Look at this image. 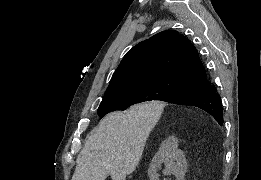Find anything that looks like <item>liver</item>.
Here are the masks:
<instances>
[{
    "instance_id": "1",
    "label": "liver",
    "mask_w": 261,
    "mask_h": 180,
    "mask_svg": "<svg viewBox=\"0 0 261 180\" xmlns=\"http://www.w3.org/2000/svg\"><path fill=\"white\" fill-rule=\"evenodd\" d=\"M159 102L137 104L126 112H110L90 132L77 156L72 180H126L135 172L147 138L158 122Z\"/></svg>"
}]
</instances>
